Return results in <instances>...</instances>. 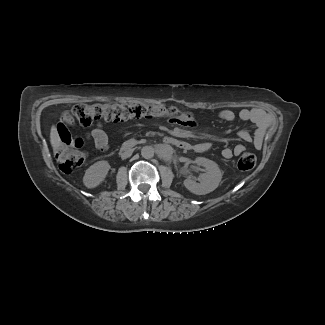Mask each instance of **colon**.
I'll return each instance as SVG.
<instances>
[{
	"label": "colon",
	"mask_w": 325,
	"mask_h": 325,
	"mask_svg": "<svg viewBox=\"0 0 325 325\" xmlns=\"http://www.w3.org/2000/svg\"><path fill=\"white\" fill-rule=\"evenodd\" d=\"M167 117L183 125L192 121L189 113L182 112L176 107L164 104H139V103H95L77 104L68 114L70 123L80 126H89L94 120L119 122L140 118ZM56 160L59 168L64 173H71L80 167L86 160L87 154L79 148L60 146L56 150ZM256 156L250 152H244L237 161L240 170L246 171L254 168Z\"/></svg>",
	"instance_id": "obj_1"
}]
</instances>
